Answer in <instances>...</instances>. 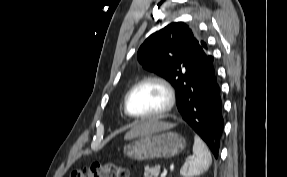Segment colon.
I'll return each instance as SVG.
<instances>
[{
    "mask_svg": "<svg viewBox=\"0 0 287 177\" xmlns=\"http://www.w3.org/2000/svg\"><path fill=\"white\" fill-rule=\"evenodd\" d=\"M71 177H130L128 170L114 162L93 163L89 167L74 170Z\"/></svg>",
    "mask_w": 287,
    "mask_h": 177,
    "instance_id": "obj_1",
    "label": "colon"
}]
</instances>
